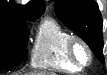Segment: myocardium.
<instances>
[{
    "label": "myocardium",
    "mask_w": 107,
    "mask_h": 75,
    "mask_svg": "<svg viewBox=\"0 0 107 75\" xmlns=\"http://www.w3.org/2000/svg\"><path fill=\"white\" fill-rule=\"evenodd\" d=\"M80 45L82 46L88 55V59L86 62H82L78 59L77 55H76V46ZM67 56L69 58V60L76 66L80 67V68H85L88 67L93 60V52L92 49L90 48V46L88 45V43L86 41H84L82 38L77 37V36H72L68 42H67Z\"/></svg>",
    "instance_id": "obj_1"
}]
</instances>
